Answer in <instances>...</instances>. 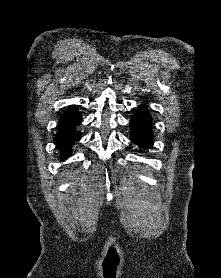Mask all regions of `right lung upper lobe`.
Here are the masks:
<instances>
[{"label":"right lung upper lobe","mask_w":221,"mask_h":278,"mask_svg":"<svg viewBox=\"0 0 221 278\" xmlns=\"http://www.w3.org/2000/svg\"><path fill=\"white\" fill-rule=\"evenodd\" d=\"M77 112L78 111L74 106L69 107V109L60 117L59 122L70 118L71 116L75 115Z\"/></svg>","instance_id":"obj_1"}]
</instances>
